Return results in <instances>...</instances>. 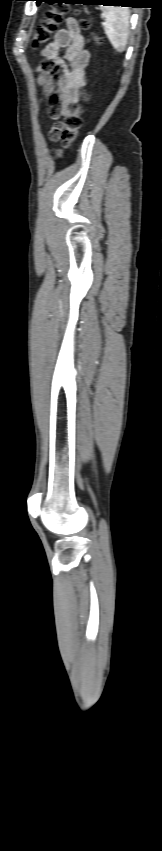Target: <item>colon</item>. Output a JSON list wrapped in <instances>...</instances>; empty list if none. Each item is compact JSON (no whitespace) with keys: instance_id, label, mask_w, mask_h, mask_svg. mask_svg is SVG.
I'll return each instance as SVG.
<instances>
[{"instance_id":"5ec220e1","label":"colon","mask_w":162,"mask_h":851,"mask_svg":"<svg viewBox=\"0 0 162 851\" xmlns=\"http://www.w3.org/2000/svg\"><path fill=\"white\" fill-rule=\"evenodd\" d=\"M66 13L67 8L64 6H57L47 10L44 14V20L34 31L32 46L36 48L47 43ZM81 27L85 30L90 29L91 21L89 19H83L81 21ZM89 38L100 43V38L94 33H91ZM88 100V95L84 93L81 103L75 105L70 113L65 115L58 122L57 126L54 127L53 134L61 141L64 149L70 148L79 135L83 123L84 105ZM57 156H61V151L57 152Z\"/></svg>"}]
</instances>
